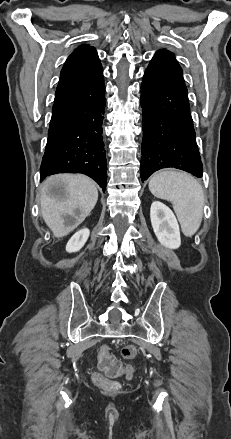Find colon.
<instances>
[{
	"label": "colon",
	"mask_w": 231,
	"mask_h": 439,
	"mask_svg": "<svg viewBox=\"0 0 231 439\" xmlns=\"http://www.w3.org/2000/svg\"><path fill=\"white\" fill-rule=\"evenodd\" d=\"M136 355L137 348L135 346L128 345L121 349L123 359H133ZM98 367L100 371H96L92 374L93 381L104 388H116L117 383L114 380L120 376L124 370L121 363L116 360L106 348H103L99 353ZM126 371L128 374L131 373V369H127Z\"/></svg>",
	"instance_id": "colon-1"
}]
</instances>
